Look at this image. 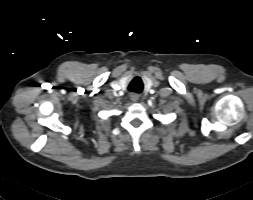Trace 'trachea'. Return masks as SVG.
Segmentation results:
<instances>
[{
	"label": "trachea",
	"mask_w": 253,
	"mask_h": 200,
	"mask_svg": "<svg viewBox=\"0 0 253 200\" xmlns=\"http://www.w3.org/2000/svg\"><path fill=\"white\" fill-rule=\"evenodd\" d=\"M129 90L139 93L142 90V85L141 83L137 84L136 79H134L129 85Z\"/></svg>",
	"instance_id": "obj_1"
}]
</instances>
